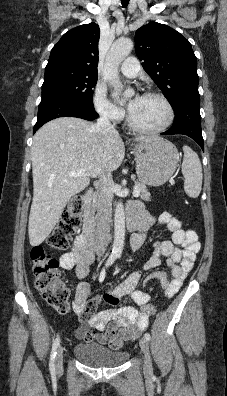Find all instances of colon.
I'll return each instance as SVG.
<instances>
[{
  "mask_svg": "<svg viewBox=\"0 0 227 396\" xmlns=\"http://www.w3.org/2000/svg\"><path fill=\"white\" fill-rule=\"evenodd\" d=\"M83 199L74 196L67 204L61 220L48 238V246L56 251L66 250L71 238L79 229L82 221ZM35 287L45 301L61 314L69 311V289L61 278L59 262L51 257L43 246L33 247L31 251ZM147 315L156 311L152 304H145L142 308Z\"/></svg>",
  "mask_w": 227,
  "mask_h": 396,
  "instance_id": "obj_1",
  "label": "colon"
}]
</instances>
